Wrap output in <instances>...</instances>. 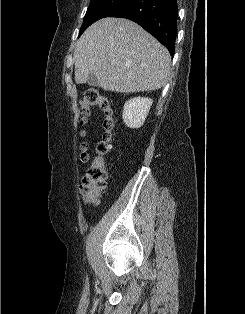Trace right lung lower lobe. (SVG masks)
Listing matches in <instances>:
<instances>
[{
	"label": "right lung lower lobe",
	"mask_w": 245,
	"mask_h": 314,
	"mask_svg": "<svg viewBox=\"0 0 245 314\" xmlns=\"http://www.w3.org/2000/svg\"><path fill=\"white\" fill-rule=\"evenodd\" d=\"M105 17H120L136 22L173 55L177 34V0H126Z\"/></svg>",
	"instance_id": "98d812e1"
}]
</instances>
